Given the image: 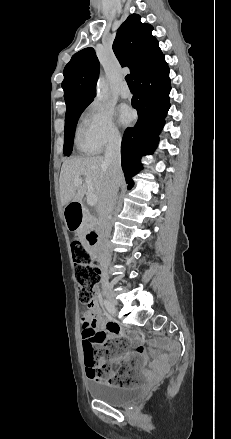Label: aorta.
Listing matches in <instances>:
<instances>
[{
	"instance_id": "1",
	"label": "aorta",
	"mask_w": 231,
	"mask_h": 439,
	"mask_svg": "<svg viewBox=\"0 0 231 439\" xmlns=\"http://www.w3.org/2000/svg\"><path fill=\"white\" fill-rule=\"evenodd\" d=\"M108 87L106 84V81L103 77L99 78V81L97 83V99L101 100L104 99L107 95Z\"/></svg>"
}]
</instances>
